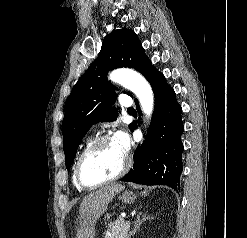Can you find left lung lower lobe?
<instances>
[{"instance_id":"obj_1","label":"left lung lower lobe","mask_w":247,"mask_h":238,"mask_svg":"<svg viewBox=\"0 0 247 238\" xmlns=\"http://www.w3.org/2000/svg\"><path fill=\"white\" fill-rule=\"evenodd\" d=\"M147 80L153 88L155 97V110L149 135L143 144L137 147L133 168L121 181L145 185L161 184L178 190L182 173L181 134L184 131L181 120L182 108L162 73L154 69ZM135 103L138 108V101L135 100ZM139 112L141 113L140 110ZM136 127L133 123L131 130Z\"/></svg>"}]
</instances>
